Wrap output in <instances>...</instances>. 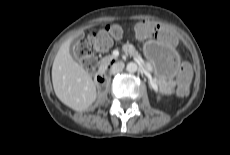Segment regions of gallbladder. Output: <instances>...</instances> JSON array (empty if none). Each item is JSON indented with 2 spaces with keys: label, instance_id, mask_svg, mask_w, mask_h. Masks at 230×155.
<instances>
[{
  "label": "gallbladder",
  "instance_id": "1",
  "mask_svg": "<svg viewBox=\"0 0 230 155\" xmlns=\"http://www.w3.org/2000/svg\"><path fill=\"white\" fill-rule=\"evenodd\" d=\"M76 42H77V39L74 40V43H76ZM73 57H74V59H75L76 61H78V62L80 61L79 58H78L77 56L74 55Z\"/></svg>",
  "mask_w": 230,
  "mask_h": 155
}]
</instances>
